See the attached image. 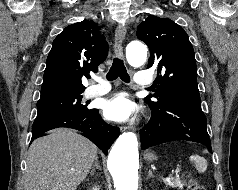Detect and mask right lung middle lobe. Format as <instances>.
Listing matches in <instances>:
<instances>
[{"instance_id": "right-lung-middle-lobe-1", "label": "right lung middle lobe", "mask_w": 238, "mask_h": 190, "mask_svg": "<svg viewBox=\"0 0 238 190\" xmlns=\"http://www.w3.org/2000/svg\"><path fill=\"white\" fill-rule=\"evenodd\" d=\"M80 94L40 99L37 103L38 112L36 118L88 110L87 106L81 104L82 96Z\"/></svg>"}]
</instances>
